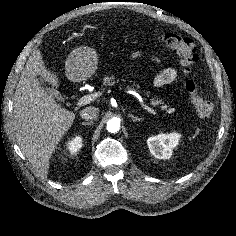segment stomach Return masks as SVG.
Wrapping results in <instances>:
<instances>
[{
	"mask_svg": "<svg viewBox=\"0 0 236 236\" xmlns=\"http://www.w3.org/2000/svg\"><path fill=\"white\" fill-rule=\"evenodd\" d=\"M96 51L90 47L74 49L65 64L66 76L71 81H82L91 76L97 69Z\"/></svg>",
	"mask_w": 236,
	"mask_h": 236,
	"instance_id": "obj_1",
	"label": "stomach"
}]
</instances>
